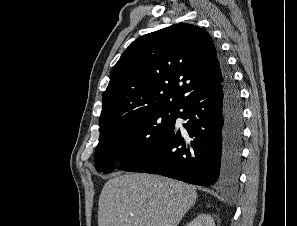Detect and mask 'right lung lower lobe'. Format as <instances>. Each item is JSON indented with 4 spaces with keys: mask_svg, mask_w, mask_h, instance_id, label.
Listing matches in <instances>:
<instances>
[{
    "mask_svg": "<svg viewBox=\"0 0 297 226\" xmlns=\"http://www.w3.org/2000/svg\"><path fill=\"white\" fill-rule=\"evenodd\" d=\"M222 81L198 92L180 106L175 127L121 170L159 174L187 183L235 185L239 178L243 139V107L239 89L224 59Z\"/></svg>",
    "mask_w": 297,
    "mask_h": 226,
    "instance_id": "obj_1",
    "label": "right lung lower lobe"
}]
</instances>
